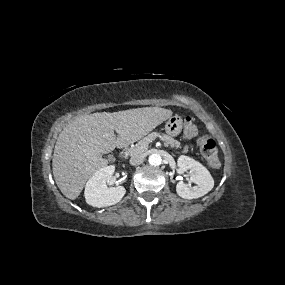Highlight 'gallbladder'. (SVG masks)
<instances>
[{
    "mask_svg": "<svg viewBox=\"0 0 285 285\" xmlns=\"http://www.w3.org/2000/svg\"><path fill=\"white\" fill-rule=\"evenodd\" d=\"M107 158H108L109 161L113 160V156L112 155H107Z\"/></svg>",
    "mask_w": 285,
    "mask_h": 285,
    "instance_id": "1",
    "label": "gallbladder"
}]
</instances>
